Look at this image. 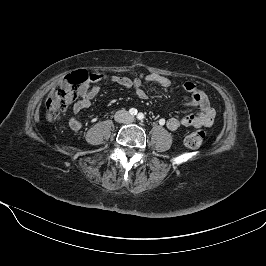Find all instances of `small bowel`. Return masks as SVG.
I'll use <instances>...</instances> for the list:
<instances>
[{
    "label": "small bowel",
    "instance_id": "obj_1",
    "mask_svg": "<svg viewBox=\"0 0 266 266\" xmlns=\"http://www.w3.org/2000/svg\"><path fill=\"white\" fill-rule=\"evenodd\" d=\"M148 81L156 83L160 86L159 93L166 94L172 89L171 80L163 75L157 73L139 74L134 79L127 77L108 75L105 73H97L94 75L93 82H110L118 84L125 88H131L135 91L136 95L140 99H147L148 94L143 89L142 81ZM183 88L191 93V99L185 104L186 107H197L199 110L195 114H190L182 118H170L166 121L168 129L174 131L180 127H211L215 118V110L210 105L207 95L199 90L192 82H186L183 84ZM99 86L94 84L91 87L86 86L80 92V100L77 101L72 108L74 116L69 119V126L71 129L78 131L82 128L81 121L76 117L82 110L90 107L92 100L99 93Z\"/></svg>",
    "mask_w": 266,
    "mask_h": 266
}]
</instances>
